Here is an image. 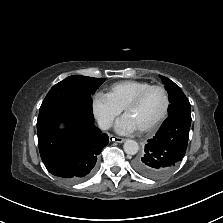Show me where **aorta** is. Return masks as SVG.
Masks as SVG:
<instances>
[{"label": "aorta", "mask_w": 223, "mask_h": 223, "mask_svg": "<svg viewBox=\"0 0 223 223\" xmlns=\"http://www.w3.org/2000/svg\"><path fill=\"white\" fill-rule=\"evenodd\" d=\"M124 151L128 155H135L138 153L139 145L135 140L128 139L123 145Z\"/></svg>", "instance_id": "762f6f07"}]
</instances>
